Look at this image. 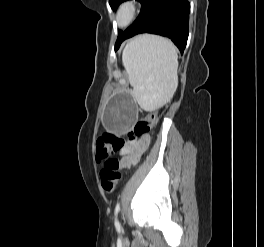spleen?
<instances>
[{
    "label": "spleen",
    "instance_id": "spleen-1",
    "mask_svg": "<svg viewBox=\"0 0 264 247\" xmlns=\"http://www.w3.org/2000/svg\"><path fill=\"white\" fill-rule=\"evenodd\" d=\"M122 63L139 101L165 104L173 97L178 86V55L171 41L140 35L125 46Z\"/></svg>",
    "mask_w": 264,
    "mask_h": 247
}]
</instances>
